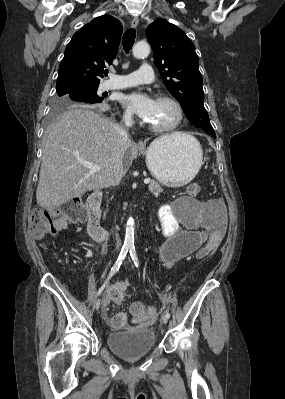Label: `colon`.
Here are the masks:
<instances>
[{
	"mask_svg": "<svg viewBox=\"0 0 285 399\" xmlns=\"http://www.w3.org/2000/svg\"><path fill=\"white\" fill-rule=\"evenodd\" d=\"M186 192L189 196H196L200 192L198 183L188 185ZM86 219V211L80 198H73L63 203L59 207H47L35 209L30 216V226L35 236L41 237L51 231L59 230L68 222L82 223ZM221 240L212 237L200 250L203 257L212 255L220 246ZM134 315L154 316V307H145L140 301H136L131 306Z\"/></svg>",
	"mask_w": 285,
	"mask_h": 399,
	"instance_id": "obj_1",
	"label": "colon"
}]
</instances>
